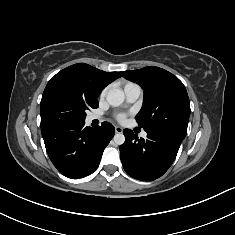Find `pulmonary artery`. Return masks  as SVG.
<instances>
[{
  "label": "pulmonary artery",
  "mask_w": 235,
  "mask_h": 235,
  "mask_svg": "<svg viewBox=\"0 0 235 235\" xmlns=\"http://www.w3.org/2000/svg\"><path fill=\"white\" fill-rule=\"evenodd\" d=\"M125 99L127 103H134L141 95V89L136 84H128L124 87ZM100 118L97 115H93L89 118V120H94ZM147 136L146 132L141 133V137L145 138Z\"/></svg>",
  "instance_id": "pulmonary-artery-1"
}]
</instances>
